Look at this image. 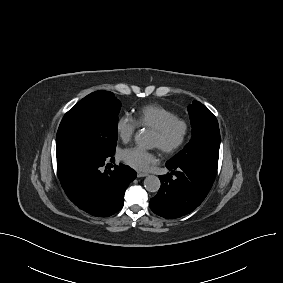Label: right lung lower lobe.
I'll return each instance as SVG.
<instances>
[{"label":"right lung lower lobe","instance_id":"obj_1","mask_svg":"<svg viewBox=\"0 0 283 283\" xmlns=\"http://www.w3.org/2000/svg\"><path fill=\"white\" fill-rule=\"evenodd\" d=\"M113 155L72 149L57 156L58 177L66 195L96 217L111 216L122 209L125 190L137 175L123 164L103 171L105 161L114 159Z\"/></svg>","mask_w":283,"mask_h":283}]
</instances>
